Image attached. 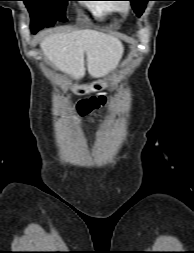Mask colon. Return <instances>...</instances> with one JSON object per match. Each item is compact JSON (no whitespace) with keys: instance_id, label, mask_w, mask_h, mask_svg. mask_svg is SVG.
I'll return each instance as SVG.
<instances>
[{"instance_id":"obj_1","label":"colon","mask_w":194,"mask_h":253,"mask_svg":"<svg viewBox=\"0 0 194 253\" xmlns=\"http://www.w3.org/2000/svg\"><path fill=\"white\" fill-rule=\"evenodd\" d=\"M106 104V97L93 96L77 103V113L80 117H92Z\"/></svg>"}]
</instances>
